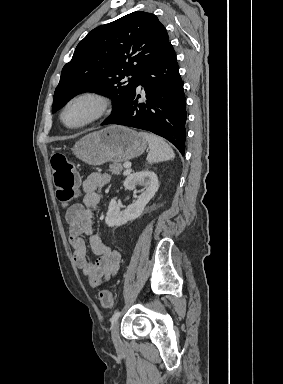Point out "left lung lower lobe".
<instances>
[{"label":"left lung lower lobe","mask_w":283,"mask_h":384,"mask_svg":"<svg viewBox=\"0 0 283 384\" xmlns=\"http://www.w3.org/2000/svg\"><path fill=\"white\" fill-rule=\"evenodd\" d=\"M142 85L145 103H138L136 90ZM186 102L175 51L169 42L160 56L144 70L126 108L104 121L151 131L166 138L184 154Z\"/></svg>","instance_id":"left-lung-lower-lobe-1"}]
</instances>
